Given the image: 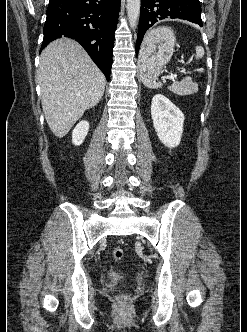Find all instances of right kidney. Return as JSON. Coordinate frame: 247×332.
<instances>
[{
    "mask_svg": "<svg viewBox=\"0 0 247 332\" xmlns=\"http://www.w3.org/2000/svg\"><path fill=\"white\" fill-rule=\"evenodd\" d=\"M89 131V123L87 121L79 122L72 131V143L74 145H81Z\"/></svg>",
    "mask_w": 247,
    "mask_h": 332,
    "instance_id": "ca27d5eb",
    "label": "right kidney"
}]
</instances>
